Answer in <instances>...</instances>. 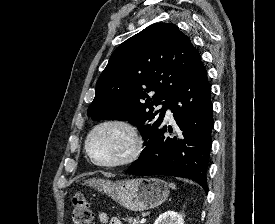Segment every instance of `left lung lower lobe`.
<instances>
[{"mask_svg": "<svg viewBox=\"0 0 275 224\" xmlns=\"http://www.w3.org/2000/svg\"><path fill=\"white\" fill-rule=\"evenodd\" d=\"M210 92L203 66L184 82L166 105L176 122L173 135L165 137L167 127L161 123L147 138L139 159L132 163L126 173L190 178L208 192L206 172L213 129ZM168 130L172 132L171 127Z\"/></svg>", "mask_w": 275, "mask_h": 224, "instance_id": "left-lung-lower-lobe-1", "label": "left lung lower lobe"}]
</instances>
